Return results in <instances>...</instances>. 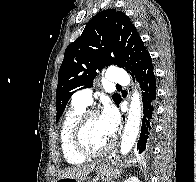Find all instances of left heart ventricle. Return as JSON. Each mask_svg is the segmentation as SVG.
I'll use <instances>...</instances> for the list:
<instances>
[{
	"label": "left heart ventricle",
	"mask_w": 196,
	"mask_h": 182,
	"mask_svg": "<svg viewBox=\"0 0 196 182\" xmlns=\"http://www.w3.org/2000/svg\"><path fill=\"white\" fill-rule=\"evenodd\" d=\"M110 141L101 124L100 116L91 117L82 132V142L91 151L100 150Z\"/></svg>",
	"instance_id": "left-heart-ventricle-1"
}]
</instances>
